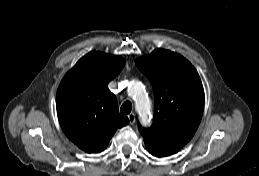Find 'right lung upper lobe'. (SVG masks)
<instances>
[{"label": "right lung upper lobe", "mask_w": 259, "mask_h": 176, "mask_svg": "<svg viewBox=\"0 0 259 176\" xmlns=\"http://www.w3.org/2000/svg\"><path fill=\"white\" fill-rule=\"evenodd\" d=\"M125 64L120 56L92 51L62 79L56 97L59 123L66 136L87 153L103 151L117 128L129 123L108 89Z\"/></svg>", "instance_id": "right-lung-upper-lobe-1"}]
</instances>
